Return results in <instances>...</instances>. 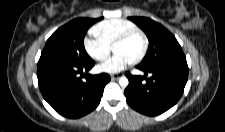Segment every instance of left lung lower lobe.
I'll return each instance as SVG.
<instances>
[{
    "mask_svg": "<svg viewBox=\"0 0 225 132\" xmlns=\"http://www.w3.org/2000/svg\"><path fill=\"white\" fill-rule=\"evenodd\" d=\"M137 68L145 75L133 76L126 73L129 85L124 91L126 100L133 109L155 116L177 103L188 78L186 61L165 62L150 67L138 65Z\"/></svg>",
    "mask_w": 225,
    "mask_h": 132,
    "instance_id": "obj_1",
    "label": "left lung lower lobe"
}]
</instances>
